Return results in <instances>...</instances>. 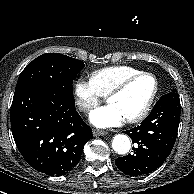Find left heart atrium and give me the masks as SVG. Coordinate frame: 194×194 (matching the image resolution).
Segmentation results:
<instances>
[{"mask_svg": "<svg viewBox=\"0 0 194 194\" xmlns=\"http://www.w3.org/2000/svg\"><path fill=\"white\" fill-rule=\"evenodd\" d=\"M89 119L98 128L119 126L125 121L124 116L111 104L94 110Z\"/></svg>", "mask_w": 194, "mask_h": 194, "instance_id": "39dd6f15", "label": "left heart atrium"}]
</instances>
